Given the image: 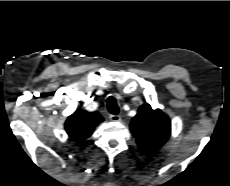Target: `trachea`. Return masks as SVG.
I'll return each instance as SVG.
<instances>
[{"label":"trachea","mask_w":230,"mask_h":186,"mask_svg":"<svg viewBox=\"0 0 230 186\" xmlns=\"http://www.w3.org/2000/svg\"><path fill=\"white\" fill-rule=\"evenodd\" d=\"M107 109L110 113L117 115L119 113V108L114 97L110 96L107 99Z\"/></svg>","instance_id":"1"}]
</instances>
